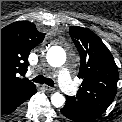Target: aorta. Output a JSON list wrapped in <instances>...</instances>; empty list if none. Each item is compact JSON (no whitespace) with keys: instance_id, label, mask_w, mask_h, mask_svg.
<instances>
[{"instance_id":"aorta-1","label":"aorta","mask_w":122,"mask_h":122,"mask_svg":"<svg viewBox=\"0 0 122 122\" xmlns=\"http://www.w3.org/2000/svg\"><path fill=\"white\" fill-rule=\"evenodd\" d=\"M47 62L53 67H61L66 61V53L60 47H53L47 53ZM51 103L55 107H61L65 103V97L56 92L51 96Z\"/></svg>"}]
</instances>
